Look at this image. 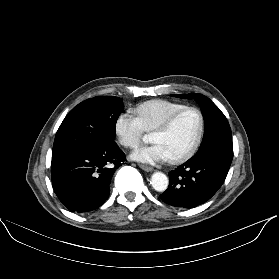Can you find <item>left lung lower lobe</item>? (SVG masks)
<instances>
[{
	"label": "left lung lower lobe",
	"instance_id": "obj_1",
	"mask_svg": "<svg viewBox=\"0 0 279 279\" xmlns=\"http://www.w3.org/2000/svg\"><path fill=\"white\" fill-rule=\"evenodd\" d=\"M232 157L218 151L193 156L170 172L169 187L160 195L163 202L193 208L208 201L223 184Z\"/></svg>",
	"mask_w": 279,
	"mask_h": 279
}]
</instances>
